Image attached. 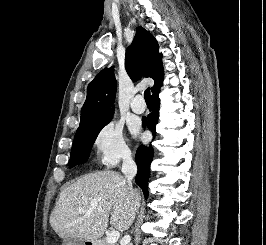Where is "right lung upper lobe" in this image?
I'll return each instance as SVG.
<instances>
[{"mask_svg": "<svg viewBox=\"0 0 266 245\" xmlns=\"http://www.w3.org/2000/svg\"><path fill=\"white\" fill-rule=\"evenodd\" d=\"M158 49L156 39L143 27H138L137 34L127 48L125 56V68L133 81L139 80L142 76L154 79L152 93L160 89L164 76L162 55L158 53ZM115 94L116 79L113 67L104 69L88 85L80 123L113 114L114 108L110 107L114 103Z\"/></svg>", "mask_w": 266, "mask_h": 245, "instance_id": "right-lung-upper-lobe-1", "label": "right lung upper lobe"}]
</instances>
